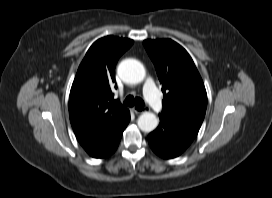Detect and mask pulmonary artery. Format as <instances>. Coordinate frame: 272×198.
<instances>
[{"instance_id":"e3ab8cb5","label":"pulmonary artery","mask_w":272,"mask_h":198,"mask_svg":"<svg viewBox=\"0 0 272 198\" xmlns=\"http://www.w3.org/2000/svg\"><path fill=\"white\" fill-rule=\"evenodd\" d=\"M144 95L150 106L157 112H162L163 104L152 79H147L144 85Z\"/></svg>"}]
</instances>
